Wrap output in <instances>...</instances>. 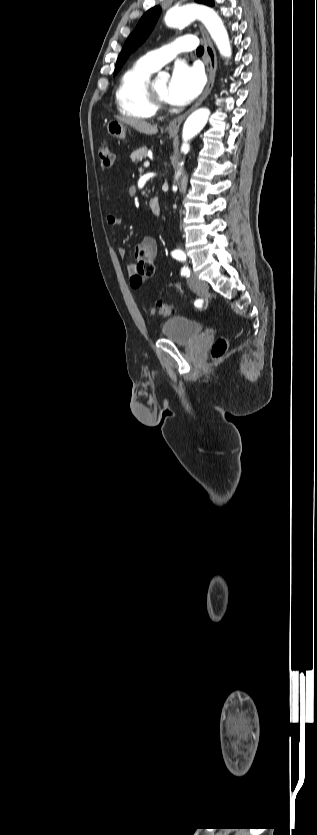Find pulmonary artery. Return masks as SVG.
Instances as JSON below:
<instances>
[{
    "label": "pulmonary artery",
    "mask_w": 317,
    "mask_h": 835,
    "mask_svg": "<svg viewBox=\"0 0 317 835\" xmlns=\"http://www.w3.org/2000/svg\"><path fill=\"white\" fill-rule=\"evenodd\" d=\"M197 45L198 41L195 36H180L169 44L147 52L142 59L153 69L157 70L165 63L173 59L177 54L192 51L196 49Z\"/></svg>",
    "instance_id": "obj_1"
}]
</instances>
